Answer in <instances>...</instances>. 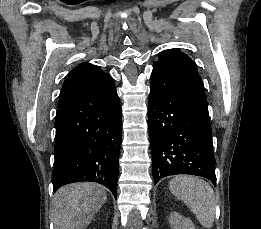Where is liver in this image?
Segmentation results:
<instances>
[{
  "instance_id": "1",
  "label": "liver",
  "mask_w": 261,
  "mask_h": 229,
  "mask_svg": "<svg viewBox=\"0 0 261 229\" xmlns=\"http://www.w3.org/2000/svg\"><path fill=\"white\" fill-rule=\"evenodd\" d=\"M107 201V189L98 183H72L59 189L52 201L55 229H86Z\"/></svg>"
}]
</instances>
